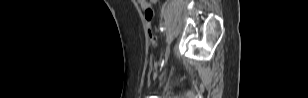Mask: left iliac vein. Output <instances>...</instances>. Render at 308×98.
Segmentation results:
<instances>
[{
  "instance_id": "left-iliac-vein-1",
  "label": "left iliac vein",
  "mask_w": 308,
  "mask_h": 98,
  "mask_svg": "<svg viewBox=\"0 0 308 98\" xmlns=\"http://www.w3.org/2000/svg\"><path fill=\"white\" fill-rule=\"evenodd\" d=\"M169 55H170V46H167L166 51H165V54H164V56H163V60H162V67H163V66L165 65V63L167 62Z\"/></svg>"
}]
</instances>
